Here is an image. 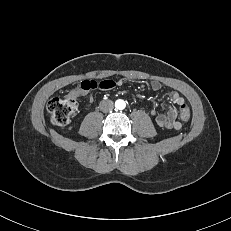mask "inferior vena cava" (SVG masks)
Wrapping results in <instances>:
<instances>
[{"mask_svg":"<svg viewBox=\"0 0 231 231\" xmlns=\"http://www.w3.org/2000/svg\"><path fill=\"white\" fill-rule=\"evenodd\" d=\"M99 108L102 112L106 113L114 108V104L111 100H103L100 102Z\"/></svg>","mask_w":231,"mask_h":231,"instance_id":"602c4592","label":"inferior vena cava"}]
</instances>
